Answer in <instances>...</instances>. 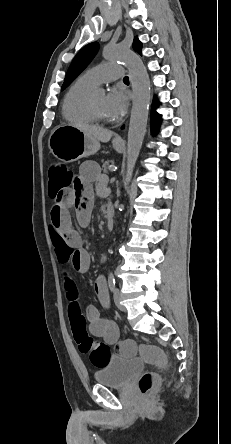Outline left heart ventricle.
<instances>
[{"label": "left heart ventricle", "mask_w": 231, "mask_h": 444, "mask_svg": "<svg viewBox=\"0 0 231 444\" xmlns=\"http://www.w3.org/2000/svg\"><path fill=\"white\" fill-rule=\"evenodd\" d=\"M105 99H106V96L103 93H96L93 95V102H94L96 110L98 111V113L101 116L109 119L111 117L108 115V113L106 111Z\"/></svg>", "instance_id": "b2bd125f"}]
</instances>
